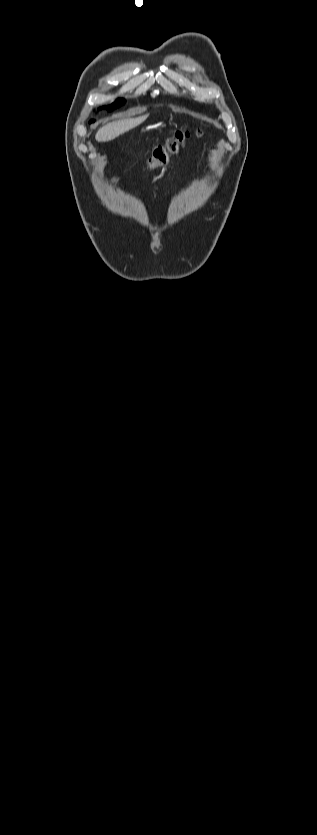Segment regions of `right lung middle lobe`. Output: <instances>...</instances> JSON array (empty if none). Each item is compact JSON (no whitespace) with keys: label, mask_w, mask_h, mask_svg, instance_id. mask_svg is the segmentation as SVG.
<instances>
[{"label":"right lung middle lobe","mask_w":317,"mask_h":835,"mask_svg":"<svg viewBox=\"0 0 317 835\" xmlns=\"http://www.w3.org/2000/svg\"><path fill=\"white\" fill-rule=\"evenodd\" d=\"M124 103H125V100H123V99H122V100H118V101L114 102L112 105L107 106V107H106V109H107L108 111H110L113 107H119V106L123 105ZM91 122H94V120H91V121H90V123H91Z\"/></svg>","instance_id":"right-lung-middle-lobe-1"}]
</instances>
